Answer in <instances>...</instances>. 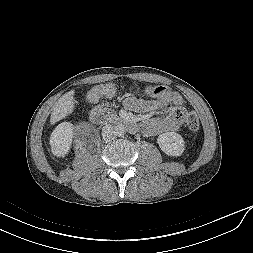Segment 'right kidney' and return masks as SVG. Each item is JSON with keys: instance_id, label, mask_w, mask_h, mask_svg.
Masks as SVG:
<instances>
[{"instance_id": "1", "label": "right kidney", "mask_w": 253, "mask_h": 253, "mask_svg": "<svg viewBox=\"0 0 253 253\" xmlns=\"http://www.w3.org/2000/svg\"><path fill=\"white\" fill-rule=\"evenodd\" d=\"M73 127L69 123L59 124L52 132L50 146L53 155L64 157L68 154L73 141Z\"/></svg>"}]
</instances>
